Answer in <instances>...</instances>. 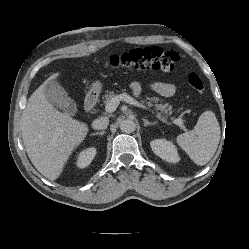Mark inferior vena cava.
I'll list each match as a JSON object with an SVG mask.
<instances>
[{
    "label": "inferior vena cava",
    "mask_w": 249,
    "mask_h": 249,
    "mask_svg": "<svg viewBox=\"0 0 249 249\" xmlns=\"http://www.w3.org/2000/svg\"><path fill=\"white\" fill-rule=\"evenodd\" d=\"M109 119L107 117H100L92 122V128L95 130H101L107 128Z\"/></svg>",
    "instance_id": "1"
}]
</instances>
